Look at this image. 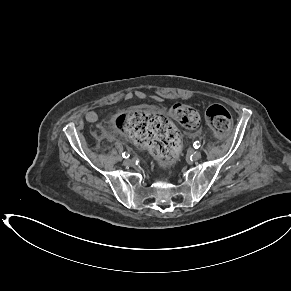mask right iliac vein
Listing matches in <instances>:
<instances>
[{
	"label": "right iliac vein",
	"mask_w": 291,
	"mask_h": 291,
	"mask_svg": "<svg viewBox=\"0 0 291 291\" xmlns=\"http://www.w3.org/2000/svg\"><path fill=\"white\" fill-rule=\"evenodd\" d=\"M124 165L125 166H132L133 165V161L130 160V159H126V160H124Z\"/></svg>",
	"instance_id": "63e3f726"
}]
</instances>
